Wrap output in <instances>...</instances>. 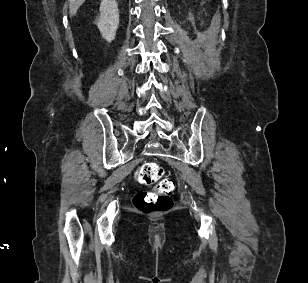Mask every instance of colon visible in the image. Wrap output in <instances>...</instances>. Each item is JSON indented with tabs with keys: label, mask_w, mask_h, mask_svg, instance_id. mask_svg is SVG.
<instances>
[{
	"label": "colon",
	"mask_w": 308,
	"mask_h": 283,
	"mask_svg": "<svg viewBox=\"0 0 308 283\" xmlns=\"http://www.w3.org/2000/svg\"><path fill=\"white\" fill-rule=\"evenodd\" d=\"M163 168L153 162L143 163L135 173V179L142 185L155 184L152 191L139 192L134 199V206L144 213H160L171 208V195L174 182L169 178H162Z\"/></svg>",
	"instance_id": "5ec220e1"
}]
</instances>
